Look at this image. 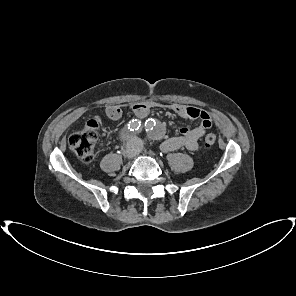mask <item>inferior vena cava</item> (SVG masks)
<instances>
[{"label":"inferior vena cava","instance_id":"1","mask_svg":"<svg viewBox=\"0 0 296 296\" xmlns=\"http://www.w3.org/2000/svg\"><path fill=\"white\" fill-rule=\"evenodd\" d=\"M128 147L136 154L141 150L142 140L139 137L134 136L129 140Z\"/></svg>","mask_w":296,"mask_h":296}]
</instances>
